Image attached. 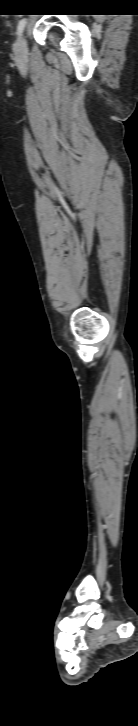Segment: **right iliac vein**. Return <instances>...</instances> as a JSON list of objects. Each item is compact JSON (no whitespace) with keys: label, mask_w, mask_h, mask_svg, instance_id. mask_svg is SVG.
<instances>
[{"label":"right iliac vein","mask_w":138,"mask_h":726,"mask_svg":"<svg viewBox=\"0 0 138 726\" xmlns=\"http://www.w3.org/2000/svg\"><path fill=\"white\" fill-rule=\"evenodd\" d=\"M27 55L26 36L23 34L15 44V58L18 61H24Z\"/></svg>","instance_id":"1"}]
</instances>
